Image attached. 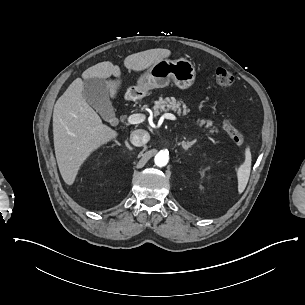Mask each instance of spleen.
I'll return each instance as SVG.
<instances>
[{
    "label": "spleen",
    "instance_id": "spleen-1",
    "mask_svg": "<svg viewBox=\"0 0 305 305\" xmlns=\"http://www.w3.org/2000/svg\"><path fill=\"white\" fill-rule=\"evenodd\" d=\"M252 165L251 148L248 143L244 146V160L239 165H234L233 169L237 178V192L241 195L248 183Z\"/></svg>",
    "mask_w": 305,
    "mask_h": 305
}]
</instances>
